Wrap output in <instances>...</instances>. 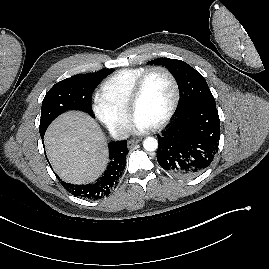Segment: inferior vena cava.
<instances>
[{
	"instance_id": "inferior-vena-cava-1",
	"label": "inferior vena cava",
	"mask_w": 269,
	"mask_h": 269,
	"mask_svg": "<svg viewBox=\"0 0 269 269\" xmlns=\"http://www.w3.org/2000/svg\"><path fill=\"white\" fill-rule=\"evenodd\" d=\"M110 133L116 140H125L129 137V130L123 127L115 128Z\"/></svg>"
}]
</instances>
